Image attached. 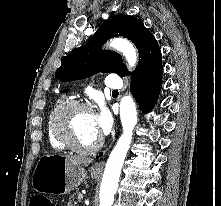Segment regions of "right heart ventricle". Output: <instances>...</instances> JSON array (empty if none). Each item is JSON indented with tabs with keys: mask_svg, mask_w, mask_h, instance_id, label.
<instances>
[{
	"mask_svg": "<svg viewBox=\"0 0 221 206\" xmlns=\"http://www.w3.org/2000/svg\"><path fill=\"white\" fill-rule=\"evenodd\" d=\"M68 98H60L58 99L54 105L51 107L49 113H48V117H47V122H46V132H47V138H48V141L50 143V145L54 148V149H57V150H65L67 149V147L61 143L57 137L55 136L54 132H53V128H52V117H53V114L56 110V108L63 102L67 101Z\"/></svg>",
	"mask_w": 221,
	"mask_h": 206,
	"instance_id": "1",
	"label": "right heart ventricle"
}]
</instances>
